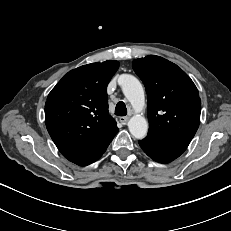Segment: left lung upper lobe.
Instances as JSON below:
<instances>
[{"label":"left lung upper lobe","mask_w":231,"mask_h":231,"mask_svg":"<svg viewBox=\"0 0 231 231\" xmlns=\"http://www.w3.org/2000/svg\"><path fill=\"white\" fill-rule=\"evenodd\" d=\"M133 69L147 92L148 135L185 151L200 122L195 84L176 64L159 56L136 59Z\"/></svg>","instance_id":"left-lung-upper-lobe-1"}]
</instances>
